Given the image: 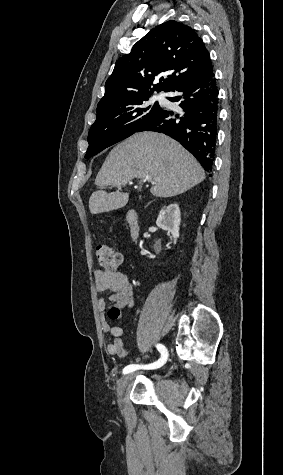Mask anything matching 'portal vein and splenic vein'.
<instances>
[{
  "label": "portal vein and splenic vein",
  "instance_id": "1",
  "mask_svg": "<svg viewBox=\"0 0 283 475\" xmlns=\"http://www.w3.org/2000/svg\"><path fill=\"white\" fill-rule=\"evenodd\" d=\"M147 178H149V180H152L151 176H147Z\"/></svg>",
  "mask_w": 283,
  "mask_h": 475
}]
</instances>
